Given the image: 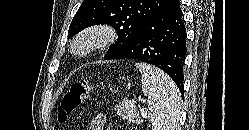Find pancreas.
Instances as JSON below:
<instances>
[{"label": "pancreas", "mask_w": 249, "mask_h": 130, "mask_svg": "<svg viewBox=\"0 0 249 130\" xmlns=\"http://www.w3.org/2000/svg\"><path fill=\"white\" fill-rule=\"evenodd\" d=\"M117 114L121 115L123 120L132 122L135 124L142 123V118L140 116V111L132 103L123 101L122 106L116 107Z\"/></svg>", "instance_id": "pancreas-1"}]
</instances>
